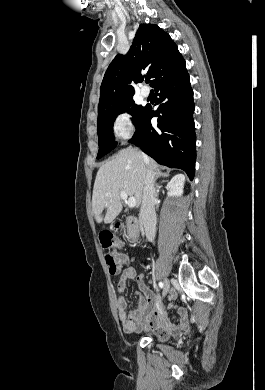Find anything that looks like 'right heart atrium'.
Wrapping results in <instances>:
<instances>
[{"label": "right heart atrium", "mask_w": 265, "mask_h": 390, "mask_svg": "<svg viewBox=\"0 0 265 390\" xmlns=\"http://www.w3.org/2000/svg\"><path fill=\"white\" fill-rule=\"evenodd\" d=\"M111 129L119 140L129 139L135 131L133 116L129 112L118 113L112 121Z\"/></svg>", "instance_id": "right-heart-atrium-1"}]
</instances>
